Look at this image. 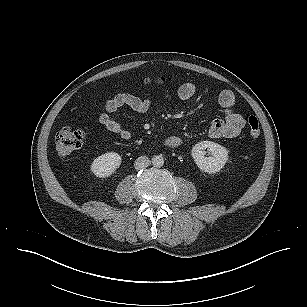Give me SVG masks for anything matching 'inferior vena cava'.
I'll return each instance as SVG.
<instances>
[{"label": "inferior vena cava", "mask_w": 307, "mask_h": 307, "mask_svg": "<svg viewBox=\"0 0 307 307\" xmlns=\"http://www.w3.org/2000/svg\"><path fill=\"white\" fill-rule=\"evenodd\" d=\"M150 164L151 161L147 156H140L136 159L134 166L136 170H141L148 167Z\"/></svg>", "instance_id": "602c4592"}]
</instances>
